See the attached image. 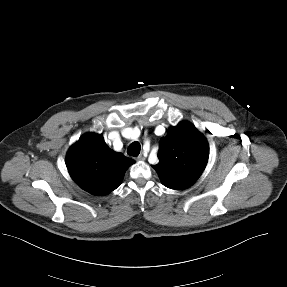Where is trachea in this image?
<instances>
[{"instance_id":"obj_1","label":"trachea","mask_w":287,"mask_h":287,"mask_svg":"<svg viewBox=\"0 0 287 287\" xmlns=\"http://www.w3.org/2000/svg\"><path fill=\"white\" fill-rule=\"evenodd\" d=\"M141 150V145L138 141L131 143L127 149V154L130 156H138Z\"/></svg>"}]
</instances>
